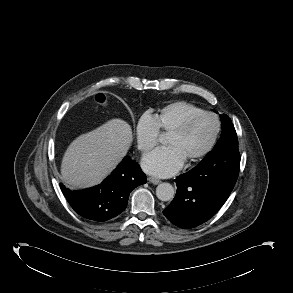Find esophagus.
<instances>
[{
  "mask_svg": "<svg viewBox=\"0 0 293 293\" xmlns=\"http://www.w3.org/2000/svg\"><path fill=\"white\" fill-rule=\"evenodd\" d=\"M148 181H149V183H152L154 185H157V184L161 183V181L159 179L154 178V177H149Z\"/></svg>",
  "mask_w": 293,
  "mask_h": 293,
  "instance_id": "obj_1",
  "label": "esophagus"
}]
</instances>
